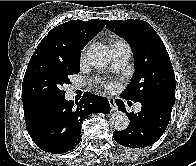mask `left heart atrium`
<instances>
[{
  "label": "left heart atrium",
  "mask_w": 196,
  "mask_h": 166,
  "mask_svg": "<svg viewBox=\"0 0 196 166\" xmlns=\"http://www.w3.org/2000/svg\"><path fill=\"white\" fill-rule=\"evenodd\" d=\"M105 87L107 88V89H113L114 87H115V85L113 84V83H105Z\"/></svg>",
  "instance_id": "obj_1"
}]
</instances>
